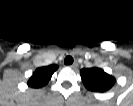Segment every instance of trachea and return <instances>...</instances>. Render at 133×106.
Returning <instances> with one entry per match:
<instances>
[{
  "mask_svg": "<svg viewBox=\"0 0 133 106\" xmlns=\"http://www.w3.org/2000/svg\"><path fill=\"white\" fill-rule=\"evenodd\" d=\"M73 63V58L71 56H67L65 59H64V64L65 65H71Z\"/></svg>",
  "mask_w": 133,
  "mask_h": 106,
  "instance_id": "1",
  "label": "trachea"
}]
</instances>
